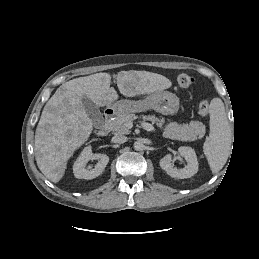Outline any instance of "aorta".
I'll return each mask as SVG.
<instances>
[{
	"label": "aorta",
	"mask_w": 259,
	"mask_h": 259,
	"mask_svg": "<svg viewBox=\"0 0 259 259\" xmlns=\"http://www.w3.org/2000/svg\"><path fill=\"white\" fill-rule=\"evenodd\" d=\"M134 149L136 151H142L144 149V144L142 142H140V141H136L134 143Z\"/></svg>",
	"instance_id": "aorta-1"
}]
</instances>
